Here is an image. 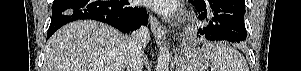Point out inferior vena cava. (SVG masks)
I'll return each mask as SVG.
<instances>
[{
    "label": "inferior vena cava",
    "mask_w": 301,
    "mask_h": 71,
    "mask_svg": "<svg viewBox=\"0 0 301 71\" xmlns=\"http://www.w3.org/2000/svg\"><path fill=\"white\" fill-rule=\"evenodd\" d=\"M150 34L146 26H141L131 33L129 43L131 47L130 55L127 60V71H142L143 68V49L149 42Z\"/></svg>",
    "instance_id": "inferior-vena-cava-1"
}]
</instances>
